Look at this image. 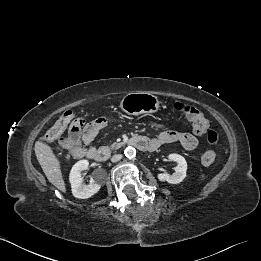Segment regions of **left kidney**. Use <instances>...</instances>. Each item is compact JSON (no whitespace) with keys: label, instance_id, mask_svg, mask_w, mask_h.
<instances>
[{"label":"left kidney","instance_id":"5707ae66","mask_svg":"<svg viewBox=\"0 0 261 261\" xmlns=\"http://www.w3.org/2000/svg\"><path fill=\"white\" fill-rule=\"evenodd\" d=\"M168 159L177 163V166L174 168L175 172L172 175L168 173H159L157 178L162 182L166 181L170 184H178L186 177L187 162L183 156L175 153L169 154Z\"/></svg>","mask_w":261,"mask_h":261}]
</instances>
